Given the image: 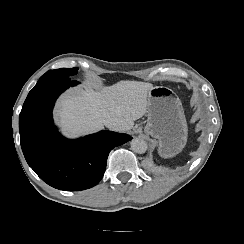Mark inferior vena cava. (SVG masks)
Instances as JSON below:
<instances>
[{"label":"inferior vena cava","mask_w":244,"mask_h":244,"mask_svg":"<svg viewBox=\"0 0 244 244\" xmlns=\"http://www.w3.org/2000/svg\"><path fill=\"white\" fill-rule=\"evenodd\" d=\"M102 123L111 130H114V131L121 130V124L112 119H102Z\"/></svg>","instance_id":"1"}]
</instances>
